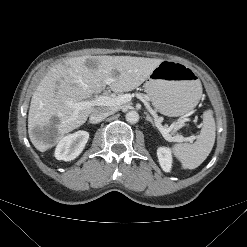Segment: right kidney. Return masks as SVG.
<instances>
[{"label": "right kidney", "mask_w": 247, "mask_h": 247, "mask_svg": "<svg viewBox=\"0 0 247 247\" xmlns=\"http://www.w3.org/2000/svg\"><path fill=\"white\" fill-rule=\"evenodd\" d=\"M88 139L89 133L86 131H77L63 137L55 149L56 159L64 161L75 159L83 151Z\"/></svg>", "instance_id": "1"}]
</instances>
